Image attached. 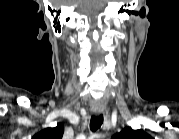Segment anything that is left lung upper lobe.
I'll use <instances>...</instances> for the list:
<instances>
[{"mask_svg": "<svg viewBox=\"0 0 179 139\" xmlns=\"http://www.w3.org/2000/svg\"><path fill=\"white\" fill-rule=\"evenodd\" d=\"M147 136L142 130H133L131 127H126L115 136V139H144Z\"/></svg>", "mask_w": 179, "mask_h": 139, "instance_id": "left-lung-upper-lobe-1", "label": "left lung upper lobe"}]
</instances>
